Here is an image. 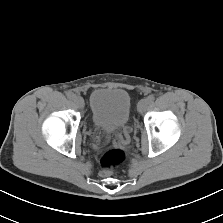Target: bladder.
Wrapping results in <instances>:
<instances>
[{
    "mask_svg": "<svg viewBox=\"0 0 223 223\" xmlns=\"http://www.w3.org/2000/svg\"><path fill=\"white\" fill-rule=\"evenodd\" d=\"M89 104L94 125L105 132H113L127 124L132 100L122 88H98L91 93Z\"/></svg>",
    "mask_w": 223,
    "mask_h": 223,
    "instance_id": "31cf9c89",
    "label": "bladder"
}]
</instances>
